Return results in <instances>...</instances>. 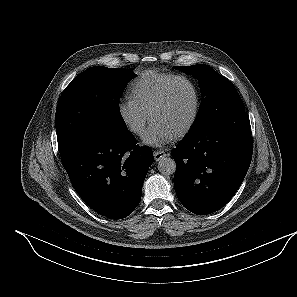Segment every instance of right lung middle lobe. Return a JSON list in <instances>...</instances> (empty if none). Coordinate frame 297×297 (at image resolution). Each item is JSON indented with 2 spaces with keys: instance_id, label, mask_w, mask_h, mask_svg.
Here are the masks:
<instances>
[{
  "instance_id": "dd1d6c3e",
  "label": "right lung middle lobe",
  "mask_w": 297,
  "mask_h": 297,
  "mask_svg": "<svg viewBox=\"0 0 297 297\" xmlns=\"http://www.w3.org/2000/svg\"><path fill=\"white\" fill-rule=\"evenodd\" d=\"M135 76L128 69L97 66L73 79L63 91L55 114L60 155L91 132L127 130L118 101Z\"/></svg>"
}]
</instances>
